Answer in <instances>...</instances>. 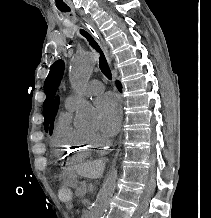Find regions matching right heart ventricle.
Segmentation results:
<instances>
[{"instance_id": "1", "label": "right heart ventricle", "mask_w": 211, "mask_h": 218, "mask_svg": "<svg viewBox=\"0 0 211 218\" xmlns=\"http://www.w3.org/2000/svg\"><path fill=\"white\" fill-rule=\"evenodd\" d=\"M71 109L59 114L54 130L57 143L52 144L57 165H77L78 161L105 153L106 142L95 140L71 125Z\"/></svg>"}]
</instances>
